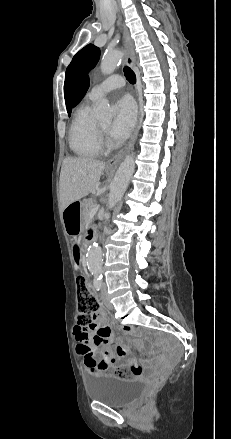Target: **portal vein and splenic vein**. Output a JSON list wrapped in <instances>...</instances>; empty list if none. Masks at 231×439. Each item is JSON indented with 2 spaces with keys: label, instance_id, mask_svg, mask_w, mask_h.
Returning <instances> with one entry per match:
<instances>
[{
  "label": "portal vein and splenic vein",
  "instance_id": "portal-vein-and-splenic-vein-1",
  "mask_svg": "<svg viewBox=\"0 0 231 439\" xmlns=\"http://www.w3.org/2000/svg\"><path fill=\"white\" fill-rule=\"evenodd\" d=\"M98 208H99V205H96V206L91 210V212H90V216H93V215L97 212Z\"/></svg>",
  "mask_w": 231,
  "mask_h": 439
}]
</instances>
